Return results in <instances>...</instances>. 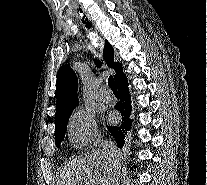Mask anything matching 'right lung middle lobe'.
Segmentation results:
<instances>
[{"label":"right lung middle lobe","mask_w":207,"mask_h":185,"mask_svg":"<svg viewBox=\"0 0 207 185\" xmlns=\"http://www.w3.org/2000/svg\"><path fill=\"white\" fill-rule=\"evenodd\" d=\"M67 125L55 129V143L59 147L60 143L63 141Z\"/></svg>","instance_id":"right-lung-middle-lobe-1"}]
</instances>
